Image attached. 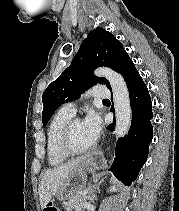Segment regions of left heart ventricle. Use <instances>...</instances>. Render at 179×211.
<instances>
[{
	"label": "left heart ventricle",
	"instance_id": "b2bd125f",
	"mask_svg": "<svg viewBox=\"0 0 179 211\" xmlns=\"http://www.w3.org/2000/svg\"><path fill=\"white\" fill-rule=\"evenodd\" d=\"M73 144L78 149H84L91 146L94 142L88 136L83 121L75 123L72 133Z\"/></svg>",
	"mask_w": 179,
	"mask_h": 211
}]
</instances>
